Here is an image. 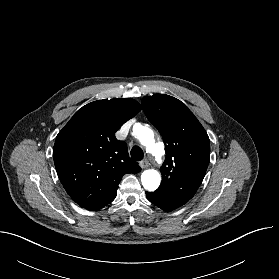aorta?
<instances>
[{"mask_svg": "<svg viewBox=\"0 0 279 279\" xmlns=\"http://www.w3.org/2000/svg\"><path fill=\"white\" fill-rule=\"evenodd\" d=\"M137 137L142 145L147 148V151L157 155L161 153L162 148L158 143H155L154 133L151 129L140 126ZM141 181L143 187L148 191L156 190L161 182V175L154 169L145 170L141 175Z\"/></svg>", "mask_w": 279, "mask_h": 279, "instance_id": "obj_1", "label": "aorta"}]
</instances>
